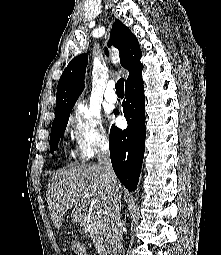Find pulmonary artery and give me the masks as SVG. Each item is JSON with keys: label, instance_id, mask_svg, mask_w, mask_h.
I'll list each match as a JSON object with an SVG mask.
<instances>
[{"label": "pulmonary artery", "instance_id": "pulmonary-artery-1", "mask_svg": "<svg viewBox=\"0 0 221 255\" xmlns=\"http://www.w3.org/2000/svg\"><path fill=\"white\" fill-rule=\"evenodd\" d=\"M114 88H115V83L113 81H108L106 84L105 99L109 103L117 102V95L115 93Z\"/></svg>", "mask_w": 221, "mask_h": 255}]
</instances>
